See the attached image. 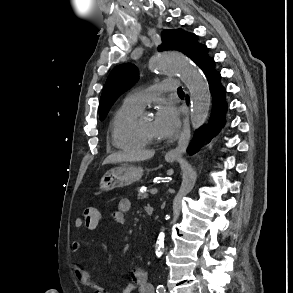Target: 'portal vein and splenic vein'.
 <instances>
[{"label": "portal vein and splenic vein", "mask_w": 293, "mask_h": 293, "mask_svg": "<svg viewBox=\"0 0 293 293\" xmlns=\"http://www.w3.org/2000/svg\"><path fill=\"white\" fill-rule=\"evenodd\" d=\"M157 192H158V189L157 188H153V189L150 190V193L152 195L157 194Z\"/></svg>", "instance_id": "18ae733b"}]
</instances>
